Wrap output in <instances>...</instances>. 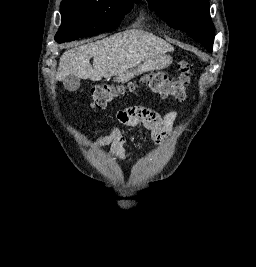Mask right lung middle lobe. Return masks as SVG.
<instances>
[{"instance_id": "dd1d6c3e", "label": "right lung middle lobe", "mask_w": 256, "mask_h": 267, "mask_svg": "<svg viewBox=\"0 0 256 267\" xmlns=\"http://www.w3.org/2000/svg\"><path fill=\"white\" fill-rule=\"evenodd\" d=\"M138 0H63L58 43L115 30Z\"/></svg>"}]
</instances>
